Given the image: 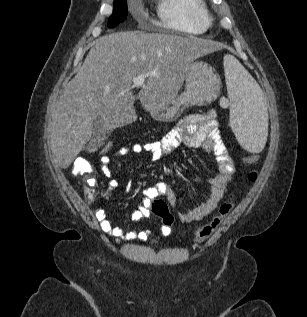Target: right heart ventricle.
<instances>
[{"label":"right heart ventricle","instance_id":"obj_1","mask_svg":"<svg viewBox=\"0 0 307 317\" xmlns=\"http://www.w3.org/2000/svg\"><path fill=\"white\" fill-rule=\"evenodd\" d=\"M157 14L162 27L182 34H203L209 26L205 0H158Z\"/></svg>","mask_w":307,"mask_h":317}]
</instances>
